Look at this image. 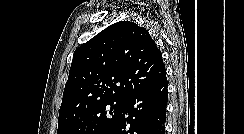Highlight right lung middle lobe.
I'll return each instance as SVG.
<instances>
[{
  "mask_svg": "<svg viewBox=\"0 0 244 134\" xmlns=\"http://www.w3.org/2000/svg\"><path fill=\"white\" fill-rule=\"evenodd\" d=\"M124 102L103 101L73 117L58 120L57 134H104L121 114Z\"/></svg>",
  "mask_w": 244,
  "mask_h": 134,
  "instance_id": "obj_1",
  "label": "right lung middle lobe"
}]
</instances>
